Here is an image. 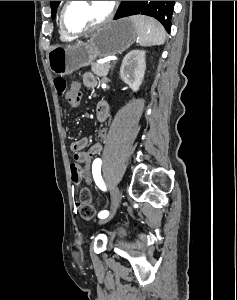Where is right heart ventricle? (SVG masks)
Here are the masks:
<instances>
[{"mask_svg":"<svg viewBox=\"0 0 237 300\" xmlns=\"http://www.w3.org/2000/svg\"><path fill=\"white\" fill-rule=\"evenodd\" d=\"M60 34H61L62 38H66V36L63 34V32H60Z\"/></svg>","mask_w":237,"mask_h":300,"instance_id":"e07e8e85","label":"right heart ventricle"}]
</instances>
